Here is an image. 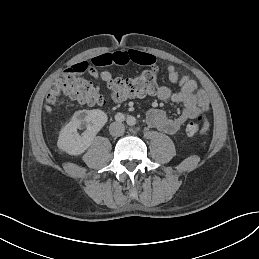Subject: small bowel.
<instances>
[{"mask_svg": "<svg viewBox=\"0 0 259 259\" xmlns=\"http://www.w3.org/2000/svg\"><path fill=\"white\" fill-rule=\"evenodd\" d=\"M155 62L156 58L149 53L136 50L115 51L99 55L91 62L75 63L67 69V72L74 74L88 72L94 78L108 82L112 79L111 73L107 70H99L97 67L127 65L129 63L153 66ZM167 74L170 82L179 86V90L172 92L169 87L160 86L154 95L162 101L171 100L182 104L183 112L176 118H170L161 109H148L146 111L148 124L166 134H175L187 120L203 117L204 129H206L207 119L205 115L210 105L208 94L204 90H198L194 80L187 76H181L173 65L167 67Z\"/></svg>", "mask_w": 259, "mask_h": 259, "instance_id": "obj_1", "label": "small bowel"}]
</instances>
